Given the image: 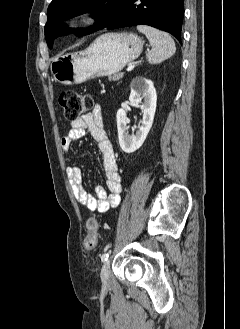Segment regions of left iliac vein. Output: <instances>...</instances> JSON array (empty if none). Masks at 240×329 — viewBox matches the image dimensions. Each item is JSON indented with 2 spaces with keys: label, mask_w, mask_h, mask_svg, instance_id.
Listing matches in <instances>:
<instances>
[{
  "label": "left iliac vein",
  "mask_w": 240,
  "mask_h": 329,
  "mask_svg": "<svg viewBox=\"0 0 240 329\" xmlns=\"http://www.w3.org/2000/svg\"><path fill=\"white\" fill-rule=\"evenodd\" d=\"M101 280L104 286H109L110 284V262H104L101 269Z\"/></svg>",
  "instance_id": "4c4485c4"
}]
</instances>
